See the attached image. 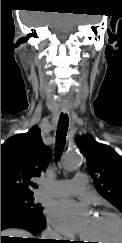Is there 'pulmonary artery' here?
Listing matches in <instances>:
<instances>
[{"mask_svg": "<svg viewBox=\"0 0 122 243\" xmlns=\"http://www.w3.org/2000/svg\"><path fill=\"white\" fill-rule=\"evenodd\" d=\"M87 189V178L82 172H76L72 180H58L45 185L41 189V196H69L83 193Z\"/></svg>", "mask_w": 122, "mask_h": 243, "instance_id": "pulmonary-artery-1", "label": "pulmonary artery"}]
</instances>
